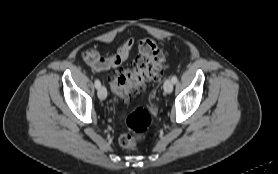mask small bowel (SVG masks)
<instances>
[{
  "label": "small bowel",
  "instance_id": "obj_1",
  "mask_svg": "<svg viewBox=\"0 0 278 174\" xmlns=\"http://www.w3.org/2000/svg\"><path fill=\"white\" fill-rule=\"evenodd\" d=\"M133 44L132 38L125 39L118 47L116 53L108 57H101L97 50L89 49L83 54V59L95 72L117 68L129 58Z\"/></svg>",
  "mask_w": 278,
  "mask_h": 174
}]
</instances>
